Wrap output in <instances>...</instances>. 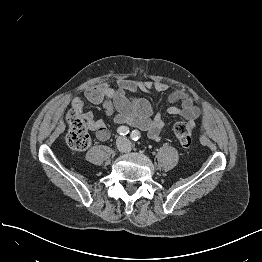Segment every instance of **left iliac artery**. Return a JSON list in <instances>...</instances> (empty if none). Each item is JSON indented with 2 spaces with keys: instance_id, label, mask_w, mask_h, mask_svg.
<instances>
[{
  "instance_id": "44dca946",
  "label": "left iliac artery",
  "mask_w": 262,
  "mask_h": 262,
  "mask_svg": "<svg viewBox=\"0 0 262 262\" xmlns=\"http://www.w3.org/2000/svg\"><path fill=\"white\" fill-rule=\"evenodd\" d=\"M141 137V134L138 130H133L132 133H131V138L132 140L134 141H138Z\"/></svg>"
}]
</instances>
